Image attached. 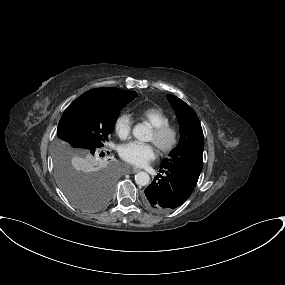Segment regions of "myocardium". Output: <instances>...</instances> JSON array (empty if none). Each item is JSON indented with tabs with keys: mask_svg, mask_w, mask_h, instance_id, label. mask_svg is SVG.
I'll use <instances>...</instances> for the list:
<instances>
[{
	"mask_svg": "<svg viewBox=\"0 0 285 285\" xmlns=\"http://www.w3.org/2000/svg\"><path fill=\"white\" fill-rule=\"evenodd\" d=\"M154 143L162 154L171 153L179 144L180 132L171 123L153 127Z\"/></svg>",
	"mask_w": 285,
	"mask_h": 285,
	"instance_id": "f54148a6",
	"label": "myocardium"
}]
</instances>
